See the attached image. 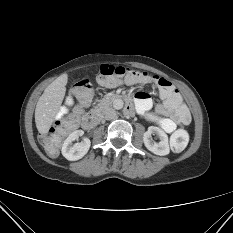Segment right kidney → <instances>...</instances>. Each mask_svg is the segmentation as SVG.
<instances>
[{
	"mask_svg": "<svg viewBox=\"0 0 233 233\" xmlns=\"http://www.w3.org/2000/svg\"><path fill=\"white\" fill-rule=\"evenodd\" d=\"M84 134L82 130H75L69 134L62 145V155L69 161H76L81 159L88 152L91 142L88 138H84L80 143L72 142L81 137Z\"/></svg>",
	"mask_w": 233,
	"mask_h": 233,
	"instance_id": "right-kidney-1",
	"label": "right kidney"
}]
</instances>
